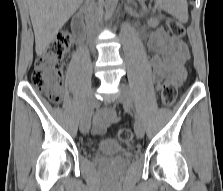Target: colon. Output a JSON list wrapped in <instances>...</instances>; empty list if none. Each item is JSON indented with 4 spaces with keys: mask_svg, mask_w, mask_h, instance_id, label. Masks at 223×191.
I'll return each instance as SVG.
<instances>
[{
    "mask_svg": "<svg viewBox=\"0 0 223 191\" xmlns=\"http://www.w3.org/2000/svg\"><path fill=\"white\" fill-rule=\"evenodd\" d=\"M167 27L170 33L182 39L185 35L184 26L176 20L169 19ZM71 45V37L67 34L59 35L48 47L46 52L39 57L34 64L31 75L33 86L44 94L51 102L59 103L61 101L63 65L62 59ZM177 87L168 81L161 88V99L165 106H171L176 100ZM120 141L128 143L132 140V132L129 129H120L117 133Z\"/></svg>",
    "mask_w": 223,
    "mask_h": 191,
    "instance_id": "obj_1",
    "label": "colon"
}]
</instances>
